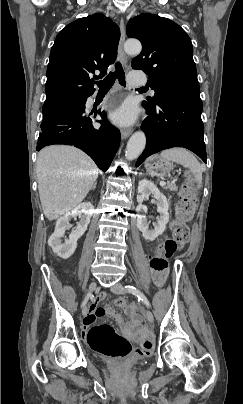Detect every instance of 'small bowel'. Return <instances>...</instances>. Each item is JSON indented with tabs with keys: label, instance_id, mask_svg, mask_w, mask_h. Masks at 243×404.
I'll return each instance as SVG.
<instances>
[{
	"label": "small bowel",
	"instance_id": "c3829d8e",
	"mask_svg": "<svg viewBox=\"0 0 243 404\" xmlns=\"http://www.w3.org/2000/svg\"><path fill=\"white\" fill-rule=\"evenodd\" d=\"M110 310L108 308H104L101 306L93 305L90 308V312L82 321V331L86 333L89 328L96 322L97 319L103 317L107 313H109ZM136 325V321L131 322L130 324H125L122 327L123 334L129 337H134L133 334V329Z\"/></svg>",
	"mask_w": 243,
	"mask_h": 404
}]
</instances>
